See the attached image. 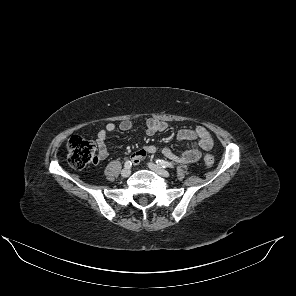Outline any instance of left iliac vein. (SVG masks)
I'll return each mask as SVG.
<instances>
[{"label":"left iliac vein","mask_w":296,"mask_h":296,"mask_svg":"<svg viewBox=\"0 0 296 296\" xmlns=\"http://www.w3.org/2000/svg\"><path fill=\"white\" fill-rule=\"evenodd\" d=\"M148 167L154 171L155 173H157L158 175L164 176V177H168L169 176V172L166 171L165 169H163L162 167L154 164V163H149Z\"/></svg>","instance_id":"1"}]
</instances>
